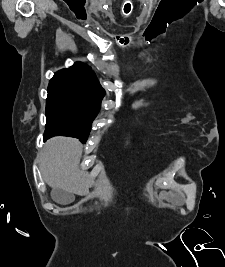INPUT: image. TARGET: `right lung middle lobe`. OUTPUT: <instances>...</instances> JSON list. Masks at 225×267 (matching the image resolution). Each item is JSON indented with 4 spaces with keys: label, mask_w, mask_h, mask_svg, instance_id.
<instances>
[{
    "label": "right lung middle lobe",
    "mask_w": 225,
    "mask_h": 267,
    "mask_svg": "<svg viewBox=\"0 0 225 267\" xmlns=\"http://www.w3.org/2000/svg\"><path fill=\"white\" fill-rule=\"evenodd\" d=\"M47 92L45 135L71 136L85 143L100 105L82 91L63 85H49Z\"/></svg>",
    "instance_id": "obj_1"
}]
</instances>
